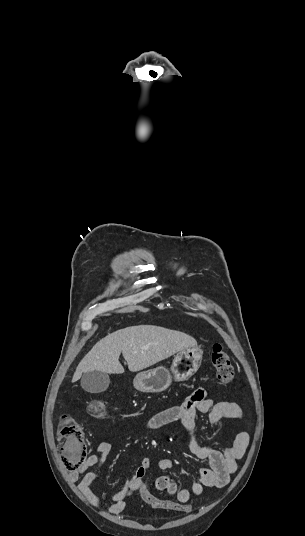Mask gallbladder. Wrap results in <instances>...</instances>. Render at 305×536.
I'll list each match as a JSON object with an SVG mask.
<instances>
[{
  "label": "gallbladder",
  "mask_w": 305,
  "mask_h": 536,
  "mask_svg": "<svg viewBox=\"0 0 305 536\" xmlns=\"http://www.w3.org/2000/svg\"><path fill=\"white\" fill-rule=\"evenodd\" d=\"M110 384V378L108 374H103V372H85L81 378V386L86 392L90 394H100V392H105Z\"/></svg>",
  "instance_id": "bac80fb5"
}]
</instances>
